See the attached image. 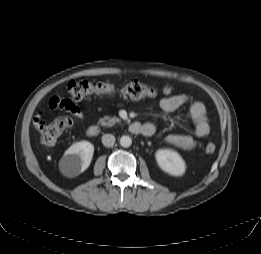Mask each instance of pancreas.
Returning <instances> with one entry per match:
<instances>
[{
  "instance_id": "obj_1",
  "label": "pancreas",
  "mask_w": 261,
  "mask_h": 254,
  "mask_svg": "<svg viewBox=\"0 0 261 254\" xmlns=\"http://www.w3.org/2000/svg\"><path fill=\"white\" fill-rule=\"evenodd\" d=\"M120 121L121 120L116 116L114 117L105 116L99 120V124H101L102 126L112 127L116 123H119Z\"/></svg>"
}]
</instances>
